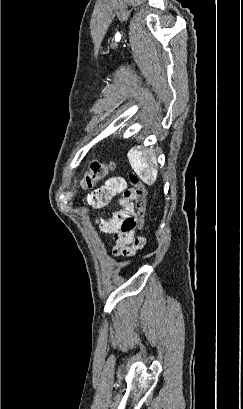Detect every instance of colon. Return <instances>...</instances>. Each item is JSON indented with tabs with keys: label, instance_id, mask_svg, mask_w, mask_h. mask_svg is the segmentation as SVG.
I'll return each mask as SVG.
<instances>
[{
	"label": "colon",
	"instance_id": "colon-1",
	"mask_svg": "<svg viewBox=\"0 0 243 409\" xmlns=\"http://www.w3.org/2000/svg\"><path fill=\"white\" fill-rule=\"evenodd\" d=\"M111 169V163L93 161L81 178L80 187L82 189L92 188L97 182L103 180ZM130 181L136 195V227L142 229L146 213V188L135 175L130 176Z\"/></svg>",
	"mask_w": 243,
	"mask_h": 409
}]
</instances>
